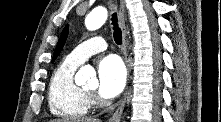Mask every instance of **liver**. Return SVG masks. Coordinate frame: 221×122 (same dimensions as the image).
<instances>
[{"instance_id": "obj_1", "label": "liver", "mask_w": 221, "mask_h": 122, "mask_svg": "<svg viewBox=\"0 0 221 122\" xmlns=\"http://www.w3.org/2000/svg\"><path fill=\"white\" fill-rule=\"evenodd\" d=\"M51 122H101L96 118H64V119H55Z\"/></svg>"}]
</instances>
